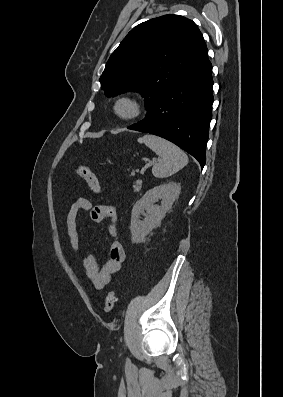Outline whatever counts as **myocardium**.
I'll use <instances>...</instances> for the list:
<instances>
[{
  "mask_svg": "<svg viewBox=\"0 0 283 397\" xmlns=\"http://www.w3.org/2000/svg\"><path fill=\"white\" fill-rule=\"evenodd\" d=\"M122 104H129L131 111L129 113H122L120 107ZM113 110L115 115L124 121H131L140 117L144 111V105L137 97L133 95H122L116 99Z\"/></svg>",
  "mask_w": 283,
  "mask_h": 397,
  "instance_id": "obj_1",
  "label": "myocardium"
}]
</instances>
